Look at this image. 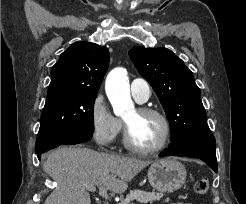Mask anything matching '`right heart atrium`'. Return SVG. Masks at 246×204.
I'll return each instance as SVG.
<instances>
[{"instance_id":"1","label":"right heart atrium","mask_w":246,"mask_h":204,"mask_svg":"<svg viewBox=\"0 0 246 204\" xmlns=\"http://www.w3.org/2000/svg\"><path fill=\"white\" fill-rule=\"evenodd\" d=\"M90 125L94 141L109 147L122 130V121L116 117L102 94H97L90 107Z\"/></svg>"}]
</instances>
